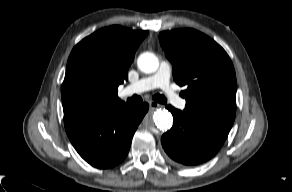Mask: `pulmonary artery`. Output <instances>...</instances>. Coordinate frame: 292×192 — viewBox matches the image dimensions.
<instances>
[{
  "label": "pulmonary artery",
  "instance_id": "pulmonary-artery-1",
  "mask_svg": "<svg viewBox=\"0 0 292 192\" xmlns=\"http://www.w3.org/2000/svg\"><path fill=\"white\" fill-rule=\"evenodd\" d=\"M171 65L168 61H161L158 70L147 77L130 84L123 90V94L141 93L156 88L164 91L165 97L177 108L184 109L186 101L182 99L170 86Z\"/></svg>",
  "mask_w": 292,
  "mask_h": 192
}]
</instances>
